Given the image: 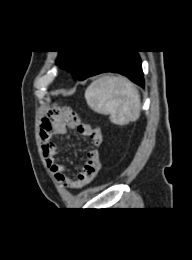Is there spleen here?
Returning a JSON list of instances; mask_svg holds the SVG:
<instances>
[{
  "instance_id": "spleen-1",
  "label": "spleen",
  "mask_w": 192,
  "mask_h": 260,
  "mask_svg": "<svg viewBox=\"0 0 192 260\" xmlns=\"http://www.w3.org/2000/svg\"><path fill=\"white\" fill-rule=\"evenodd\" d=\"M85 98L94 112L109 115L115 125H127L140 117L141 99L135 85L123 76H102L86 89Z\"/></svg>"
}]
</instances>
